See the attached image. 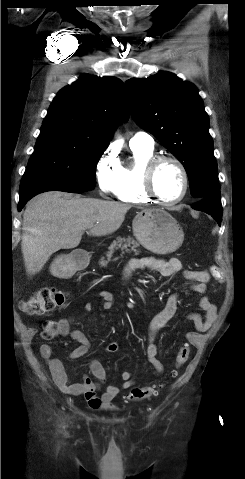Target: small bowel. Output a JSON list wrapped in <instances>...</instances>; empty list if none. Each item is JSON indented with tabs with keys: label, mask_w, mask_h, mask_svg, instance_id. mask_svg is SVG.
I'll list each match as a JSON object with an SVG mask.
<instances>
[{
	"label": "small bowel",
	"mask_w": 245,
	"mask_h": 479,
	"mask_svg": "<svg viewBox=\"0 0 245 479\" xmlns=\"http://www.w3.org/2000/svg\"><path fill=\"white\" fill-rule=\"evenodd\" d=\"M148 269L159 273L164 278H173L178 272L182 271V264L177 258L162 259L157 257H133L127 262L123 271V280L128 282L134 272ZM187 280L192 281L190 290L198 294H204L207 283L209 282V274L206 271L185 270L183 271ZM102 299V307L104 310H111L115 306L114 294L101 291L99 293ZM179 295L174 293L170 295L166 301L164 308L157 313L149 326L148 341L146 353L149 362L152 364L157 373H162L164 366L157 358L158 344L156 343V336L158 332L175 316L178 306ZM199 306L204 316L198 313L189 315V319L194 323L197 332L208 331L217 319V308L206 296H202L199 301ZM93 309L92 304H86L84 310L90 312ZM59 327V334L62 336H70L73 340L79 343L69 354L73 360L85 356L90 348V343L87 336L78 329H70V321L68 319H60L57 321ZM119 344L117 342H109L106 344V350L111 353L117 352ZM40 354L46 361L52 377L58 388L67 395L82 396L87 401L90 408L94 410L106 409L113 406V400L125 390L130 389L134 382L132 374L129 371H124L121 374L123 380L120 386H109L105 392L98 395L100 385L106 380V371L103 365L98 360H92L89 364V369L96 381L89 376H84L80 383H72L65 371V368L60 359L53 357L52 347L48 344L40 346Z\"/></svg>",
	"instance_id": "obj_1"
}]
</instances>
